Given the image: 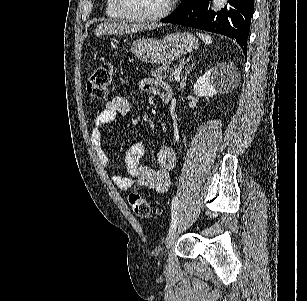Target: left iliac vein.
<instances>
[{
  "instance_id": "1",
  "label": "left iliac vein",
  "mask_w": 307,
  "mask_h": 301,
  "mask_svg": "<svg viewBox=\"0 0 307 301\" xmlns=\"http://www.w3.org/2000/svg\"><path fill=\"white\" fill-rule=\"evenodd\" d=\"M178 231L179 229L177 228L167 236L166 241H165V247L167 249L175 244L177 237H178Z\"/></svg>"
}]
</instances>
